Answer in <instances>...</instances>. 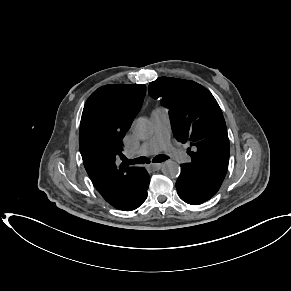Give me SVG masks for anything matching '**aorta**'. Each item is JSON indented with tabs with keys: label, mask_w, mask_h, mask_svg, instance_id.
Segmentation results:
<instances>
[{
	"label": "aorta",
	"mask_w": 291,
	"mask_h": 291,
	"mask_svg": "<svg viewBox=\"0 0 291 291\" xmlns=\"http://www.w3.org/2000/svg\"><path fill=\"white\" fill-rule=\"evenodd\" d=\"M132 132L135 137L144 140L152 136L153 125L146 118H138L133 122ZM162 173L169 178H177L180 174V166L168 160L162 166Z\"/></svg>",
	"instance_id": "762f6f07"
}]
</instances>
